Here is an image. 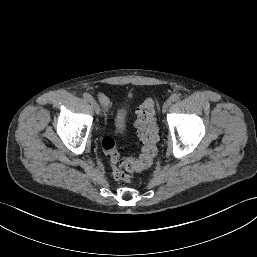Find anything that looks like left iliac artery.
<instances>
[{
    "label": "left iliac artery",
    "mask_w": 257,
    "mask_h": 257,
    "mask_svg": "<svg viewBox=\"0 0 257 257\" xmlns=\"http://www.w3.org/2000/svg\"><path fill=\"white\" fill-rule=\"evenodd\" d=\"M171 101L175 102L178 101L180 99V95L177 93H174L170 96Z\"/></svg>",
    "instance_id": "1"
}]
</instances>
